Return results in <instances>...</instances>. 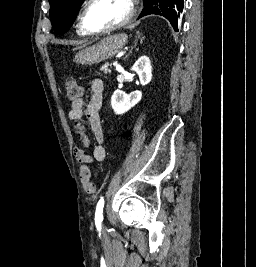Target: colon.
Here are the masks:
<instances>
[{
	"label": "colon",
	"instance_id": "5ec220e1",
	"mask_svg": "<svg viewBox=\"0 0 256 267\" xmlns=\"http://www.w3.org/2000/svg\"><path fill=\"white\" fill-rule=\"evenodd\" d=\"M66 88H67V96L69 100L71 101L77 100L80 97L81 88L74 81H67ZM74 126H75V129L77 130H80L82 128L81 123H79L78 121H75ZM81 176H82V183H83V187L85 191L90 194L96 193L97 188L94 185V183L91 181V170L88 166L83 165L81 167Z\"/></svg>",
	"mask_w": 256,
	"mask_h": 267
}]
</instances>
